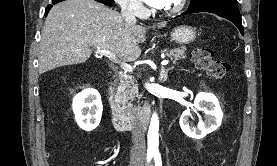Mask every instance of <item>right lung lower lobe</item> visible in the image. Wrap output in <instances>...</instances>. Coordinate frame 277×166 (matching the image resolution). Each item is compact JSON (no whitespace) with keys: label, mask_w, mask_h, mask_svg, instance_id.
Returning <instances> with one entry per match:
<instances>
[{"label":"right lung lower lobe","mask_w":277,"mask_h":166,"mask_svg":"<svg viewBox=\"0 0 277 166\" xmlns=\"http://www.w3.org/2000/svg\"><path fill=\"white\" fill-rule=\"evenodd\" d=\"M62 1H64V0H51L52 5L49 4V5L47 6L45 15L48 14L49 10L52 8V6H53L54 4L59 3V2H62ZM95 1H98V2L103 3V4H105V5H110V4H113V3H114V0H95Z\"/></svg>","instance_id":"obj_1"}]
</instances>
